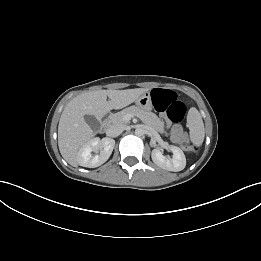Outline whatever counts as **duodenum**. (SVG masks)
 <instances>
[{
    "label": "duodenum",
    "mask_w": 261,
    "mask_h": 261,
    "mask_svg": "<svg viewBox=\"0 0 261 261\" xmlns=\"http://www.w3.org/2000/svg\"><path fill=\"white\" fill-rule=\"evenodd\" d=\"M106 126H107L106 120L102 121V123H101V129H105Z\"/></svg>",
    "instance_id": "obj_1"
}]
</instances>
